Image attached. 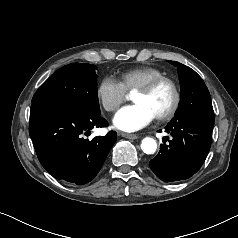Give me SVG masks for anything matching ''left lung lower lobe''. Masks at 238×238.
Returning <instances> with one entry per match:
<instances>
[{"mask_svg": "<svg viewBox=\"0 0 238 238\" xmlns=\"http://www.w3.org/2000/svg\"><path fill=\"white\" fill-rule=\"evenodd\" d=\"M213 126L214 122H169L165 132L172 138L168 144H161L157 156L150 160L152 171L165 182L191 177L206 159L211 146Z\"/></svg>", "mask_w": 238, "mask_h": 238, "instance_id": "left-lung-lower-lobe-1", "label": "left lung lower lobe"}]
</instances>
